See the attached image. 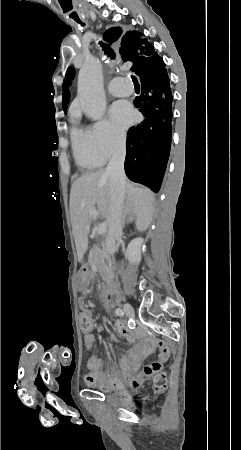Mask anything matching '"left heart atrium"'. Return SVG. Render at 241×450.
<instances>
[{
    "label": "left heart atrium",
    "mask_w": 241,
    "mask_h": 450,
    "mask_svg": "<svg viewBox=\"0 0 241 450\" xmlns=\"http://www.w3.org/2000/svg\"><path fill=\"white\" fill-rule=\"evenodd\" d=\"M110 117L117 127L126 129L132 124L134 113L130 104L124 101H117L110 109Z\"/></svg>",
    "instance_id": "1"
}]
</instances>
